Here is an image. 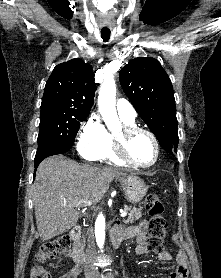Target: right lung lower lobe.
Masks as SVG:
<instances>
[{"label":"right lung lower lobe","mask_w":221,"mask_h":278,"mask_svg":"<svg viewBox=\"0 0 221 278\" xmlns=\"http://www.w3.org/2000/svg\"><path fill=\"white\" fill-rule=\"evenodd\" d=\"M73 144H63L54 146L51 148H48L40 153H36L35 159H34V165H35V172L40 164V162L45 159L48 156L56 155V154H63L71 149ZM35 174V173H34Z\"/></svg>","instance_id":"1"}]
</instances>
